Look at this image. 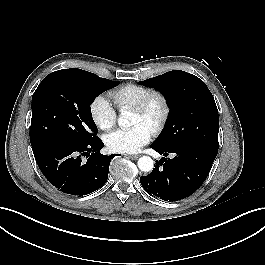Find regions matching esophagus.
Listing matches in <instances>:
<instances>
[{
    "instance_id": "1",
    "label": "esophagus",
    "mask_w": 265,
    "mask_h": 265,
    "mask_svg": "<svg viewBox=\"0 0 265 265\" xmlns=\"http://www.w3.org/2000/svg\"><path fill=\"white\" fill-rule=\"evenodd\" d=\"M128 158L136 160L139 158V155H127Z\"/></svg>"
}]
</instances>
